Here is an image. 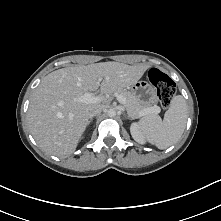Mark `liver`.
Here are the masks:
<instances>
[{"label":"liver","mask_w":221,"mask_h":221,"mask_svg":"<svg viewBox=\"0 0 221 221\" xmlns=\"http://www.w3.org/2000/svg\"><path fill=\"white\" fill-rule=\"evenodd\" d=\"M149 66L101 62L51 72L35 89L27 121L37 144L48 154L67 158L76 150L88 124L89 113L103 107L104 94L129 87ZM100 87L101 99L84 103L80 97Z\"/></svg>","instance_id":"liver-1"}]
</instances>
